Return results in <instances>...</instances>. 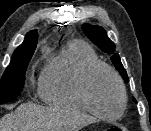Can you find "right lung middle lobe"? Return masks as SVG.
I'll return each instance as SVG.
<instances>
[{
    "label": "right lung middle lobe",
    "instance_id": "obj_1",
    "mask_svg": "<svg viewBox=\"0 0 151 131\" xmlns=\"http://www.w3.org/2000/svg\"><path fill=\"white\" fill-rule=\"evenodd\" d=\"M36 45L18 47L6 68L0 84V104L14 100L22 91L25 82V73Z\"/></svg>",
    "mask_w": 151,
    "mask_h": 131
}]
</instances>
